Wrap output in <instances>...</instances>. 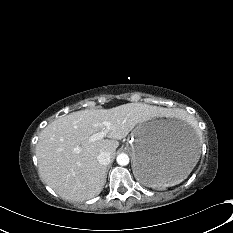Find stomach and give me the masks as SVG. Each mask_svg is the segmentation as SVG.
I'll list each match as a JSON object with an SVG mask.
<instances>
[{
  "label": "stomach",
  "instance_id": "0dacf381",
  "mask_svg": "<svg viewBox=\"0 0 233 233\" xmlns=\"http://www.w3.org/2000/svg\"><path fill=\"white\" fill-rule=\"evenodd\" d=\"M135 177L151 187L182 181L196 165L200 146L194 131L178 120H148L130 136Z\"/></svg>",
  "mask_w": 233,
  "mask_h": 233
}]
</instances>
